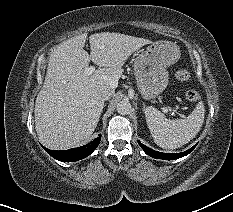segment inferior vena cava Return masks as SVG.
<instances>
[{
	"instance_id": "1",
	"label": "inferior vena cava",
	"mask_w": 233,
	"mask_h": 212,
	"mask_svg": "<svg viewBox=\"0 0 233 212\" xmlns=\"http://www.w3.org/2000/svg\"><path fill=\"white\" fill-rule=\"evenodd\" d=\"M98 93L103 100H108L113 96L114 90L108 86H102Z\"/></svg>"
}]
</instances>
